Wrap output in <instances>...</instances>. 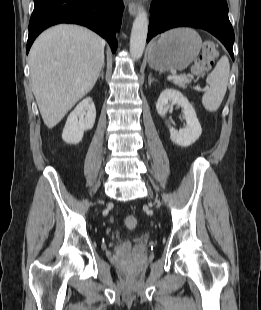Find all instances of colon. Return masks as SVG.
<instances>
[{"mask_svg":"<svg viewBox=\"0 0 261 310\" xmlns=\"http://www.w3.org/2000/svg\"><path fill=\"white\" fill-rule=\"evenodd\" d=\"M217 57V50L212 43H207L193 66L195 74H202L208 71L213 65ZM125 225L128 229H135L138 225V219L134 215H129L125 218Z\"/></svg>","mask_w":261,"mask_h":310,"instance_id":"1","label":"colon"}]
</instances>
